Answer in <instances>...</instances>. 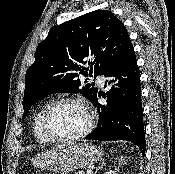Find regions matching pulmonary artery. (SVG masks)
<instances>
[{"label":"pulmonary artery","mask_w":175,"mask_h":174,"mask_svg":"<svg viewBox=\"0 0 175 174\" xmlns=\"http://www.w3.org/2000/svg\"><path fill=\"white\" fill-rule=\"evenodd\" d=\"M98 81H99V83H100L101 86L104 85V77L103 76H99L98 77Z\"/></svg>","instance_id":"e3ab8cb5"}]
</instances>
